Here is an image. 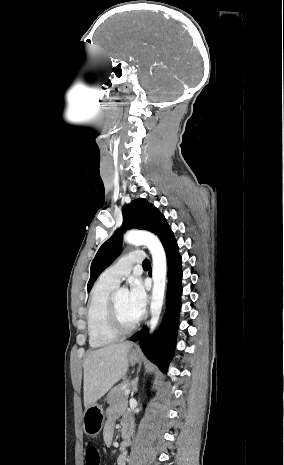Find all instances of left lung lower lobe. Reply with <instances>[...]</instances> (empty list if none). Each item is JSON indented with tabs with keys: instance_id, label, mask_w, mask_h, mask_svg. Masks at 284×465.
I'll return each mask as SVG.
<instances>
[{
	"instance_id": "obj_1",
	"label": "left lung lower lobe",
	"mask_w": 284,
	"mask_h": 465,
	"mask_svg": "<svg viewBox=\"0 0 284 465\" xmlns=\"http://www.w3.org/2000/svg\"><path fill=\"white\" fill-rule=\"evenodd\" d=\"M168 262V290L166 312L158 337L148 335L147 328L132 336V341H139L145 355L166 373L168 363L174 354L176 335L179 325L180 296L182 292L181 256L173 232L163 242Z\"/></svg>"
}]
</instances>
